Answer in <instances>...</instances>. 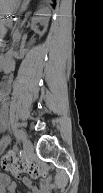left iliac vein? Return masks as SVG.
<instances>
[{
  "label": "left iliac vein",
  "mask_w": 103,
  "mask_h": 193,
  "mask_svg": "<svg viewBox=\"0 0 103 193\" xmlns=\"http://www.w3.org/2000/svg\"><path fill=\"white\" fill-rule=\"evenodd\" d=\"M23 147H24V151H25L26 155H31L33 153L34 148H33V144L31 143L30 140L25 138L23 140Z\"/></svg>",
  "instance_id": "left-iliac-vein-1"
}]
</instances>
